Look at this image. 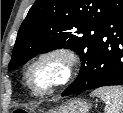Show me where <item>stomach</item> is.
I'll use <instances>...</instances> for the list:
<instances>
[{
  "mask_svg": "<svg viewBox=\"0 0 123 113\" xmlns=\"http://www.w3.org/2000/svg\"><path fill=\"white\" fill-rule=\"evenodd\" d=\"M91 105L83 99H73L51 110L50 113H88Z\"/></svg>",
  "mask_w": 123,
  "mask_h": 113,
  "instance_id": "obj_1",
  "label": "stomach"
}]
</instances>
